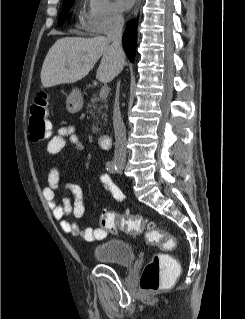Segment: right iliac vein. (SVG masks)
<instances>
[{
    "instance_id": "1",
    "label": "right iliac vein",
    "mask_w": 245,
    "mask_h": 319,
    "mask_svg": "<svg viewBox=\"0 0 245 319\" xmlns=\"http://www.w3.org/2000/svg\"><path fill=\"white\" fill-rule=\"evenodd\" d=\"M119 171H124L126 169V164L124 162L117 163Z\"/></svg>"
}]
</instances>
